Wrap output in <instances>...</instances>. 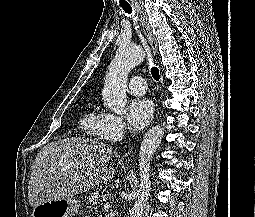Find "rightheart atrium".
I'll list each match as a JSON object with an SVG mask.
<instances>
[{"instance_id": "right-heart-atrium-1", "label": "right heart atrium", "mask_w": 255, "mask_h": 217, "mask_svg": "<svg viewBox=\"0 0 255 217\" xmlns=\"http://www.w3.org/2000/svg\"><path fill=\"white\" fill-rule=\"evenodd\" d=\"M100 131L103 138L110 140L118 139L124 135L125 124L120 116L104 112L101 116Z\"/></svg>"}]
</instances>
